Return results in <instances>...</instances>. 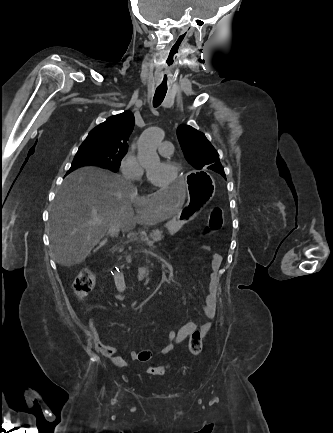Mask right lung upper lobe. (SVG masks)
<instances>
[{
	"label": "right lung upper lobe",
	"instance_id": "right-lung-upper-lobe-1",
	"mask_svg": "<svg viewBox=\"0 0 333 433\" xmlns=\"http://www.w3.org/2000/svg\"><path fill=\"white\" fill-rule=\"evenodd\" d=\"M134 124L135 118L130 111L113 115L96 126L88 134L84 142L94 143L102 147L128 150L127 141Z\"/></svg>",
	"mask_w": 333,
	"mask_h": 433
}]
</instances>
